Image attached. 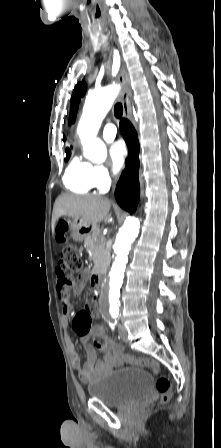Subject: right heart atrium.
<instances>
[{"mask_svg":"<svg viewBox=\"0 0 221 448\" xmlns=\"http://www.w3.org/2000/svg\"><path fill=\"white\" fill-rule=\"evenodd\" d=\"M92 179L97 188L104 190L111 184L113 177L107 167L95 165L92 166Z\"/></svg>","mask_w":221,"mask_h":448,"instance_id":"d8ad5b80","label":"right heart atrium"}]
</instances>
